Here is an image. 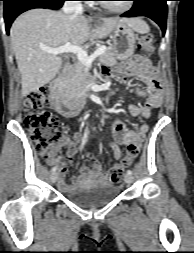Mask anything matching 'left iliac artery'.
<instances>
[{
    "label": "left iliac artery",
    "mask_w": 194,
    "mask_h": 253,
    "mask_svg": "<svg viewBox=\"0 0 194 253\" xmlns=\"http://www.w3.org/2000/svg\"><path fill=\"white\" fill-rule=\"evenodd\" d=\"M127 174L132 175V171L131 170H127Z\"/></svg>",
    "instance_id": "1"
}]
</instances>
